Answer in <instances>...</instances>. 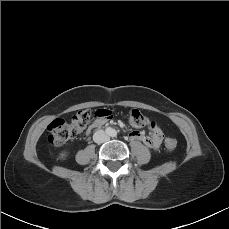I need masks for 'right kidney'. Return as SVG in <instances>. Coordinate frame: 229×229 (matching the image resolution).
Returning a JSON list of instances; mask_svg holds the SVG:
<instances>
[{"label":"right kidney","mask_w":229,"mask_h":229,"mask_svg":"<svg viewBox=\"0 0 229 229\" xmlns=\"http://www.w3.org/2000/svg\"><path fill=\"white\" fill-rule=\"evenodd\" d=\"M66 156H67V152L61 153V158H64V157H66Z\"/></svg>","instance_id":"right-kidney-1"}]
</instances>
